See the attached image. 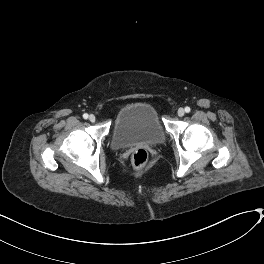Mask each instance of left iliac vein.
Segmentation results:
<instances>
[{
  "label": "left iliac vein",
  "mask_w": 264,
  "mask_h": 264,
  "mask_svg": "<svg viewBox=\"0 0 264 264\" xmlns=\"http://www.w3.org/2000/svg\"><path fill=\"white\" fill-rule=\"evenodd\" d=\"M178 116L182 117L185 114V110L183 108H179L177 111Z\"/></svg>",
  "instance_id": "4c4485c4"
}]
</instances>
